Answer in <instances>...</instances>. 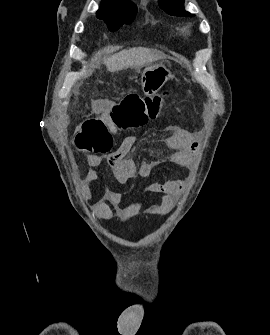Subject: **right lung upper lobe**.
I'll return each mask as SVG.
<instances>
[{"label":"right lung upper lobe","mask_w":270,"mask_h":335,"mask_svg":"<svg viewBox=\"0 0 270 335\" xmlns=\"http://www.w3.org/2000/svg\"><path fill=\"white\" fill-rule=\"evenodd\" d=\"M129 5L133 4L128 0H118V3H115L113 0H103L101 7L109 8V7L129 6Z\"/></svg>","instance_id":"cb5924a9"}]
</instances>
